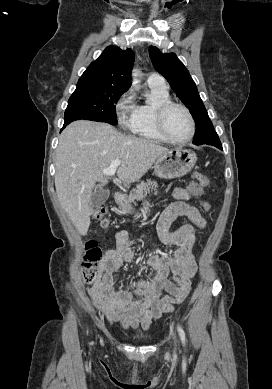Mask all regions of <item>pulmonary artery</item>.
<instances>
[{
    "instance_id": "pulmonary-artery-1",
    "label": "pulmonary artery",
    "mask_w": 272,
    "mask_h": 389,
    "mask_svg": "<svg viewBox=\"0 0 272 389\" xmlns=\"http://www.w3.org/2000/svg\"><path fill=\"white\" fill-rule=\"evenodd\" d=\"M148 85L166 87L165 81L157 74H150L147 78Z\"/></svg>"
}]
</instances>
